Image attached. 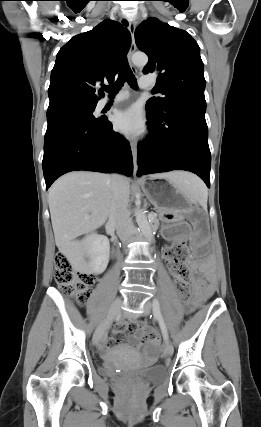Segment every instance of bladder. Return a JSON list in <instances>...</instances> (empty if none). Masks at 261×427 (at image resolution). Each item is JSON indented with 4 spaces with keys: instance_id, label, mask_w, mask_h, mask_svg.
<instances>
[{
    "instance_id": "obj_1",
    "label": "bladder",
    "mask_w": 261,
    "mask_h": 427,
    "mask_svg": "<svg viewBox=\"0 0 261 427\" xmlns=\"http://www.w3.org/2000/svg\"><path fill=\"white\" fill-rule=\"evenodd\" d=\"M99 373L105 377H115L120 375H136L149 382H159L166 376V369L162 365H153L143 369L132 367H116L110 363H105L99 368Z\"/></svg>"
}]
</instances>
